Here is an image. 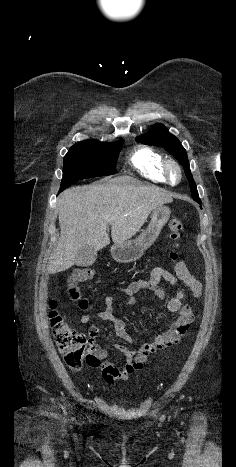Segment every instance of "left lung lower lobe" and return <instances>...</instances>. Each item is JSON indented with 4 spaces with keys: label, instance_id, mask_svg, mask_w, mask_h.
<instances>
[{
    "label": "left lung lower lobe",
    "instance_id": "left-lung-lower-lobe-1",
    "mask_svg": "<svg viewBox=\"0 0 236 467\" xmlns=\"http://www.w3.org/2000/svg\"><path fill=\"white\" fill-rule=\"evenodd\" d=\"M195 201H197L199 204H201V202H200V200H199V199H198V200H195Z\"/></svg>",
    "mask_w": 236,
    "mask_h": 467
}]
</instances>
